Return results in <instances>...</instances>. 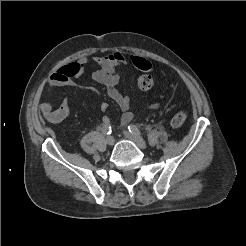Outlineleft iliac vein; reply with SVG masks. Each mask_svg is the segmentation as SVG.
Returning a JSON list of instances; mask_svg holds the SVG:
<instances>
[{
    "label": "left iliac vein",
    "mask_w": 246,
    "mask_h": 246,
    "mask_svg": "<svg viewBox=\"0 0 246 246\" xmlns=\"http://www.w3.org/2000/svg\"><path fill=\"white\" fill-rule=\"evenodd\" d=\"M124 136L131 140L132 142L135 143V145L137 147H139L140 149H145L147 147L146 142L144 141V139L142 137H140V135L137 134H132L129 131H124L123 132Z\"/></svg>",
    "instance_id": "obj_1"
}]
</instances>
